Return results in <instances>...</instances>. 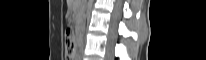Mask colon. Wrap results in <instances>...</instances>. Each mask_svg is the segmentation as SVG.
Listing matches in <instances>:
<instances>
[{
  "instance_id": "colon-1",
  "label": "colon",
  "mask_w": 206,
  "mask_h": 60,
  "mask_svg": "<svg viewBox=\"0 0 206 60\" xmlns=\"http://www.w3.org/2000/svg\"><path fill=\"white\" fill-rule=\"evenodd\" d=\"M66 37L68 39V53L70 56H72L73 52H74V47H73V43H72L73 33H72V30L70 28H68L66 30Z\"/></svg>"
}]
</instances>
